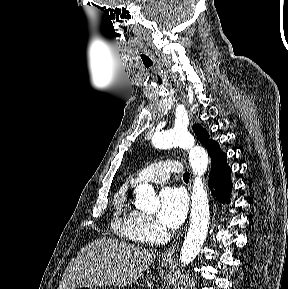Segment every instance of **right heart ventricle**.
<instances>
[{"instance_id": "1", "label": "right heart ventricle", "mask_w": 288, "mask_h": 289, "mask_svg": "<svg viewBox=\"0 0 288 289\" xmlns=\"http://www.w3.org/2000/svg\"><path fill=\"white\" fill-rule=\"evenodd\" d=\"M114 207L112 225L115 233L135 243L146 242L138 229V223L143 214L133 206L126 188H121L115 195Z\"/></svg>"}]
</instances>
